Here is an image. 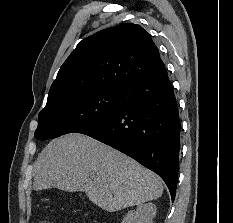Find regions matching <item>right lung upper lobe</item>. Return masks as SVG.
I'll use <instances>...</instances> for the list:
<instances>
[{
    "label": "right lung upper lobe",
    "mask_w": 233,
    "mask_h": 223,
    "mask_svg": "<svg viewBox=\"0 0 233 223\" xmlns=\"http://www.w3.org/2000/svg\"><path fill=\"white\" fill-rule=\"evenodd\" d=\"M164 68L149 33L136 24H120L77 45L61 66L47 102L92 88L121 89Z\"/></svg>",
    "instance_id": "1"
}]
</instances>
